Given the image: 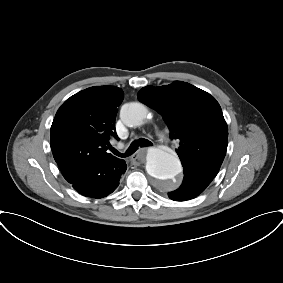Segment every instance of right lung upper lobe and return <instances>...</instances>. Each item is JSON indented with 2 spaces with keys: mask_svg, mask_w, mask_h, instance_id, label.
Segmentation results:
<instances>
[{
  "mask_svg": "<svg viewBox=\"0 0 283 283\" xmlns=\"http://www.w3.org/2000/svg\"><path fill=\"white\" fill-rule=\"evenodd\" d=\"M123 98L118 87L95 86L71 96L57 111L51 126V149L69 183L94 173L101 163L125 162L108 153L110 139H118L116 108Z\"/></svg>",
  "mask_w": 283,
  "mask_h": 283,
  "instance_id": "obj_1",
  "label": "right lung upper lobe"
}]
</instances>
